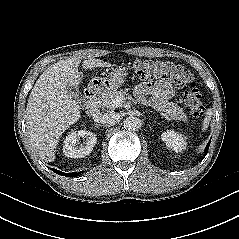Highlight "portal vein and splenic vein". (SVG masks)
I'll list each match as a JSON object with an SVG mask.
<instances>
[{"label": "portal vein and splenic vein", "mask_w": 239, "mask_h": 239, "mask_svg": "<svg viewBox=\"0 0 239 239\" xmlns=\"http://www.w3.org/2000/svg\"><path fill=\"white\" fill-rule=\"evenodd\" d=\"M123 101H124V98H122V97H116L115 99L112 100V104H113V106H115V107L117 108V107H120V106H121V104L123 103Z\"/></svg>", "instance_id": "portal-vein-and-splenic-vein-1"}]
</instances>
